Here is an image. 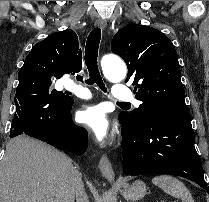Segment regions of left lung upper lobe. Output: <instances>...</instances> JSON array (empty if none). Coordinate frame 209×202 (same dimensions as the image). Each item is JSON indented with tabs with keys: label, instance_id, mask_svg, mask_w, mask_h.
<instances>
[{
	"label": "left lung upper lobe",
	"instance_id": "left-lung-upper-lobe-1",
	"mask_svg": "<svg viewBox=\"0 0 209 202\" xmlns=\"http://www.w3.org/2000/svg\"><path fill=\"white\" fill-rule=\"evenodd\" d=\"M111 50L125 61L126 82H132L142 101L139 108L121 112L119 121L139 125L151 112L190 116L178 56L168 37L149 26L128 24L113 37Z\"/></svg>",
	"mask_w": 209,
	"mask_h": 202
}]
</instances>
